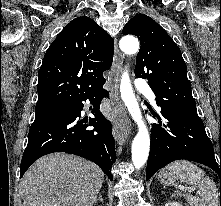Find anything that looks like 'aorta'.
I'll return each mask as SVG.
<instances>
[{"label":"aorta","mask_w":221,"mask_h":206,"mask_svg":"<svg viewBox=\"0 0 221 206\" xmlns=\"http://www.w3.org/2000/svg\"><path fill=\"white\" fill-rule=\"evenodd\" d=\"M119 47L124 53L133 55L139 50V41L134 36H124L119 42ZM120 93L129 114L138 126V133L132 142L131 153L135 168L140 169L148 159L150 150V135L147 126L143 121L141 110L133 92L127 71L124 72L121 77Z\"/></svg>","instance_id":"1"}]
</instances>
